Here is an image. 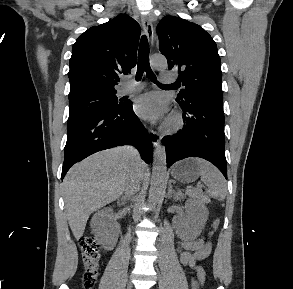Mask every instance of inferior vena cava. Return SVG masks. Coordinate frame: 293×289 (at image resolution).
<instances>
[{"instance_id": "602c4592", "label": "inferior vena cava", "mask_w": 293, "mask_h": 289, "mask_svg": "<svg viewBox=\"0 0 293 289\" xmlns=\"http://www.w3.org/2000/svg\"><path fill=\"white\" fill-rule=\"evenodd\" d=\"M126 152L133 158L135 161V168H133L127 178L126 185H125V197L129 199L133 196L136 192H138L140 187V173L138 172V165L140 164V156L136 149L132 147H125Z\"/></svg>"}]
</instances>
